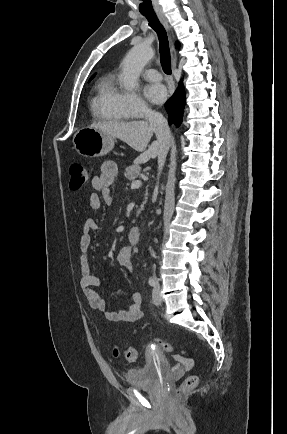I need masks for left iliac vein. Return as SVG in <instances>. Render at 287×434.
Listing matches in <instances>:
<instances>
[{
    "label": "left iliac vein",
    "instance_id": "4c4485c4",
    "mask_svg": "<svg viewBox=\"0 0 287 434\" xmlns=\"http://www.w3.org/2000/svg\"><path fill=\"white\" fill-rule=\"evenodd\" d=\"M152 300L155 305H160L162 303V299L160 296V287L159 284L155 286L153 289Z\"/></svg>",
    "mask_w": 287,
    "mask_h": 434
}]
</instances>
